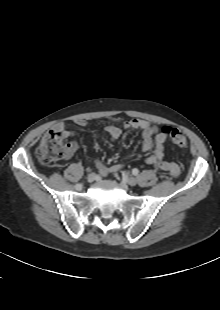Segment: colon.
I'll use <instances>...</instances> for the list:
<instances>
[{
	"label": "colon",
	"mask_w": 220,
	"mask_h": 310,
	"mask_svg": "<svg viewBox=\"0 0 220 310\" xmlns=\"http://www.w3.org/2000/svg\"><path fill=\"white\" fill-rule=\"evenodd\" d=\"M162 133L166 134L178 147L187 148L188 142L184 132L178 128L163 127ZM68 153L67 144L60 131L51 129L47 131L36 150V156L42 163L53 164Z\"/></svg>",
	"instance_id": "1"
}]
</instances>
